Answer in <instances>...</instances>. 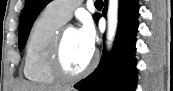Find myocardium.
Listing matches in <instances>:
<instances>
[{
	"instance_id": "f54148a6",
	"label": "myocardium",
	"mask_w": 173,
	"mask_h": 91,
	"mask_svg": "<svg viewBox=\"0 0 173 91\" xmlns=\"http://www.w3.org/2000/svg\"><path fill=\"white\" fill-rule=\"evenodd\" d=\"M69 29L73 28L70 26H62L59 29L50 45L46 61L50 74L53 75L57 80L66 82L79 80L88 75L95 67L98 59V54L94 51L92 53L90 62L81 71L73 73L65 67L62 58V50L65 35Z\"/></svg>"
}]
</instances>
